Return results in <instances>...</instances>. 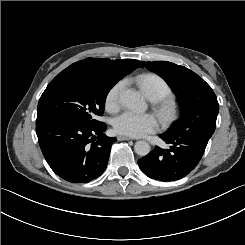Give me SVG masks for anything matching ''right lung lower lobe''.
<instances>
[{
    "mask_svg": "<svg viewBox=\"0 0 245 245\" xmlns=\"http://www.w3.org/2000/svg\"><path fill=\"white\" fill-rule=\"evenodd\" d=\"M106 124L48 122L36 125L42 153L51 169L72 183H87L107 167L116 138L104 134Z\"/></svg>",
    "mask_w": 245,
    "mask_h": 245,
    "instance_id": "98d812e1",
    "label": "right lung lower lobe"
}]
</instances>
